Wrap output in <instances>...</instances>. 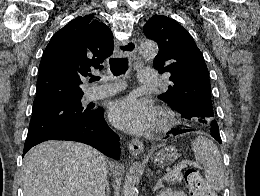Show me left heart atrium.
<instances>
[{
	"label": "left heart atrium",
	"instance_id": "left-heart-atrium-1",
	"mask_svg": "<svg viewBox=\"0 0 260 196\" xmlns=\"http://www.w3.org/2000/svg\"><path fill=\"white\" fill-rule=\"evenodd\" d=\"M154 106L145 99L126 96L115 101L109 117L111 122L130 133L140 134L148 130L155 121Z\"/></svg>",
	"mask_w": 260,
	"mask_h": 196
}]
</instances>
